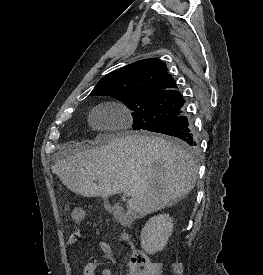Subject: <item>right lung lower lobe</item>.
I'll return each instance as SVG.
<instances>
[{
	"instance_id": "right-lung-lower-lobe-1",
	"label": "right lung lower lobe",
	"mask_w": 263,
	"mask_h": 275,
	"mask_svg": "<svg viewBox=\"0 0 263 275\" xmlns=\"http://www.w3.org/2000/svg\"><path fill=\"white\" fill-rule=\"evenodd\" d=\"M151 132L177 137L192 147L197 145L193 126L185 114L179 115L175 119L153 128Z\"/></svg>"
}]
</instances>
